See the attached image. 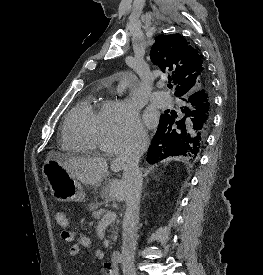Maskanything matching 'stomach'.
Here are the masks:
<instances>
[{"instance_id": "0dacf381", "label": "stomach", "mask_w": 263, "mask_h": 275, "mask_svg": "<svg viewBox=\"0 0 263 275\" xmlns=\"http://www.w3.org/2000/svg\"><path fill=\"white\" fill-rule=\"evenodd\" d=\"M51 195L60 202L85 200V192L78 180L55 159H47L42 167Z\"/></svg>"}]
</instances>
